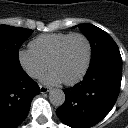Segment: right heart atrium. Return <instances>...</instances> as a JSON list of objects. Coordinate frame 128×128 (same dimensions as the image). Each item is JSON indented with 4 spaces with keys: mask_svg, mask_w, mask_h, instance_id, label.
I'll return each instance as SVG.
<instances>
[{
    "mask_svg": "<svg viewBox=\"0 0 128 128\" xmlns=\"http://www.w3.org/2000/svg\"><path fill=\"white\" fill-rule=\"evenodd\" d=\"M18 61L22 69L31 78L40 77L48 68L45 63L31 48L20 49L18 52Z\"/></svg>",
    "mask_w": 128,
    "mask_h": 128,
    "instance_id": "right-heart-atrium-1",
    "label": "right heart atrium"
}]
</instances>
